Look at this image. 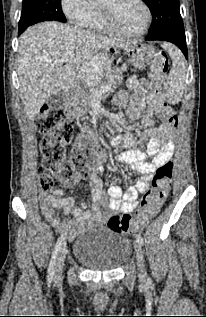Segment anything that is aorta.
<instances>
[{"mask_svg": "<svg viewBox=\"0 0 206 317\" xmlns=\"http://www.w3.org/2000/svg\"><path fill=\"white\" fill-rule=\"evenodd\" d=\"M89 2H92V1H94V0H88Z\"/></svg>", "mask_w": 206, "mask_h": 317, "instance_id": "762f6f07", "label": "aorta"}]
</instances>
